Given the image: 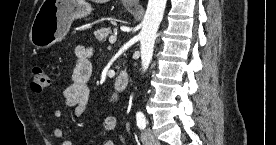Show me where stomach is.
Wrapping results in <instances>:
<instances>
[{
	"label": "stomach",
	"instance_id": "1",
	"mask_svg": "<svg viewBox=\"0 0 276 145\" xmlns=\"http://www.w3.org/2000/svg\"><path fill=\"white\" fill-rule=\"evenodd\" d=\"M92 10L83 0H44L31 26V43L37 48L50 47L65 38L74 19Z\"/></svg>",
	"mask_w": 276,
	"mask_h": 145
}]
</instances>
